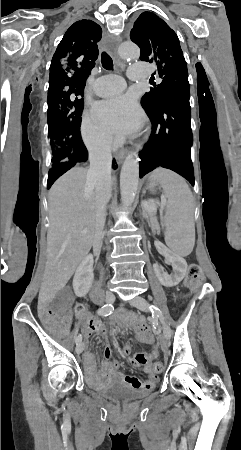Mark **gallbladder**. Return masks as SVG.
Returning <instances> with one entry per match:
<instances>
[{"instance_id":"gallbladder-1","label":"gallbladder","mask_w":241,"mask_h":450,"mask_svg":"<svg viewBox=\"0 0 241 450\" xmlns=\"http://www.w3.org/2000/svg\"><path fill=\"white\" fill-rule=\"evenodd\" d=\"M57 298L60 300L56 304V307L58 308L57 312L60 315H63L66 310H70L71 308L72 298L70 296V288L68 286H63L61 291L57 293Z\"/></svg>"}]
</instances>
